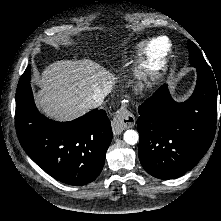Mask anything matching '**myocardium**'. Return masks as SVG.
Wrapping results in <instances>:
<instances>
[{
	"instance_id": "myocardium-1",
	"label": "myocardium",
	"mask_w": 221,
	"mask_h": 221,
	"mask_svg": "<svg viewBox=\"0 0 221 221\" xmlns=\"http://www.w3.org/2000/svg\"><path fill=\"white\" fill-rule=\"evenodd\" d=\"M159 39L166 41V47L162 52L157 53L154 51L153 45ZM172 52L173 44L168 37L159 36L149 40L144 45L143 58L135 69L136 76L149 81L160 79L166 70Z\"/></svg>"
}]
</instances>
